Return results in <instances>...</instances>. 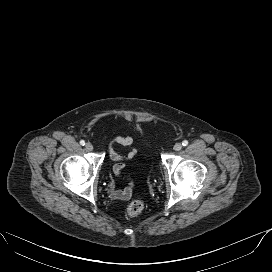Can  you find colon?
<instances>
[{"mask_svg":"<svg viewBox=\"0 0 272 272\" xmlns=\"http://www.w3.org/2000/svg\"><path fill=\"white\" fill-rule=\"evenodd\" d=\"M143 208H144V204L142 201L134 200L127 207V214L130 217H135L142 212Z\"/></svg>","mask_w":272,"mask_h":272,"instance_id":"colon-1","label":"colon"}]
</instances>
